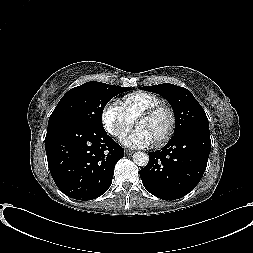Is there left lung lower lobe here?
<instances>
[{
    "label": "left lung lower lobe",
    "mask_w": 253,
    "mask_h": 253,
    "mask_svg": "<svg viewBox=\"0 0 253 253\" xmlns=\"http://www.w3.org/2000/svg\"><path fill=\"white\" fill-rule=\"evenodd\" d=\"M210 150L209 127L189 126L174 133L162 150L149 153L140 170L144 187L164 200L185 196L201 180Z\"/></svg>",
    "instance_id": "left-lung-lower-lobe-1"
}]
</instances>
